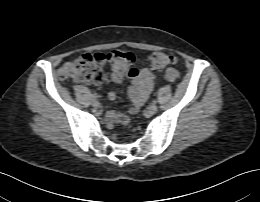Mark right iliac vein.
I'll return each instance as SVG.
<instances>
[{
    "label": "right iliac vein",
    "mask_w": 260,
    "mask_h": 202,
    "mask_svg": "<svg viewBox=\"0 0 260 202\" xmlns=\"http://www.w3.org/2000/svg\"><path fill=\"white\" fill-rule=\"evenodd\" d=\"M92 105H93V107L98 108V107L100 106V103H99L98 100L94 99V100L92 101Z\"/></svg>",
    "instance_id": "1"
}]
</instances>
